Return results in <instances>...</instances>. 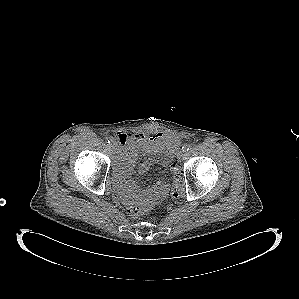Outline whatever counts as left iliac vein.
Returning a JSON list of instances; mask_svg holds the SVG:
<instances>
[{
    "label": "left iliac vein",
    "instance_id": "1",
    "mask_svg": "<svg viewBox=\"0 0 299 299\" xmlns=\"http://www.w3.org/2000/svg\"><path fill=\"white\" fill-rule=\"evenodd\" d=\"M184 156H185V151H184V150H180V151L178 152V155H177V159H178V161L183 160Z\"/></svg>",
    "mask_w": 299,
    "mask_h": 299
}]
</instances>
